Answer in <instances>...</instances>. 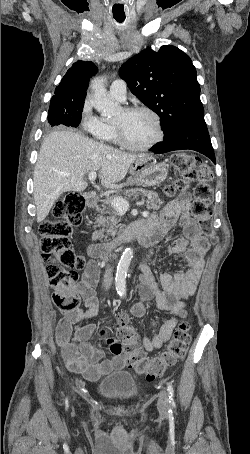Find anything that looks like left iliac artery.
Instances as JSON below:
<instances>
[{"mask_svg":"<svg viewBox=\"0 0 250 454\" xmlns=\"http://www.w3.org/2000/svg\"><path fill=\"white\" fill-rule=\"evenodd\" d=\"M167 391H168V401L170 404L174 403V388L171 384H167Z\"/></svg>","mask_w":250,"mask_h":454,"instance_id":"obj_1","label":"left iliac artery"}]
</instances>
